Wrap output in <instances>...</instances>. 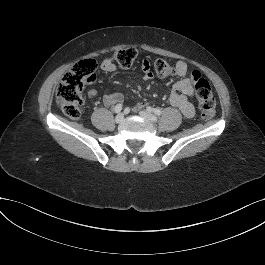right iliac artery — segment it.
Listing matches in <instances>:
<instances>
[{"instance_id": "1", "label": "right iliac artery", "mask_w": 265, "mask_h": 265, "mask_svg": "<svg viewBox=\"0 0 265 265\" xmlns=\"http://www.w3.org/2000/svg\"><path fill=\"white\" fill-rule=\"evenodd\" d=\"M122 110V104H117L115 107H114V112L115 113H119L121 112Z\"/></svg>"}]
</instances>
